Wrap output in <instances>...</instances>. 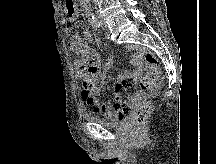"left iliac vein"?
<instances>
[{
    "mask_svg": "<svg viewBox=\"0 0 216 164\" xmlns=\"http://www.w3.org/2000/svg\"><path fill=\"white\" fill-rule=\"evenodd\" d=\"M100 23H101V26H102L103 29L107 28V25H106L104 20H100Z\"/></svg>",
    "mask_w": 216,
    "mask_h": 164,
    "instance_id": "4c4485c4",
    "label": "left iliac vein"
}]
</instances>
